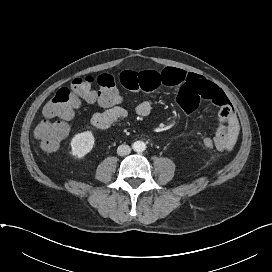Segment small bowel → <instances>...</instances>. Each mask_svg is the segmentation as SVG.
<instances>
[{
	"label": "small bowel",
	"mask_w": 272,
	"mask_h": 272,
	"mask_svg": "<svg viewBox=\"0 0 272 272\" xmlns=\"http://www.w3.org/2000/svg\"><path fill=\"white\" fill-rule=\"evenodd\" d=\"M120 84L131 91H155L161 87H179L177 101L182 111L189 115L203 101L213 103L218 107L219 127L213 137L214 147L220 151H231L240 133L237 114L225 93L214 83L177 68H165L161 71L126 70L119 76ZM152 112L148 101L136 106L140 117H147ZM127 116V110L122 105H115L97 112L92 117V125L97 129H108Z\"/></svg>",
	"instance_id": "c3829d8e"
}]
</instances>
